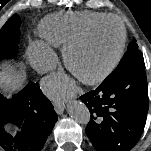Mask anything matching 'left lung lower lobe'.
I'll return each mask as SVG.
<instances>
[{
    "label": "left lung lower lobe",
    "instance_id": "left-lung-lower-lobe-1",
    "mask_svg": "<svg viewBox=\"0 0 151 151\" xmlns=\"http://www.w3.org/2000/svg\"><path fill=\"white\" fill-rule=\"evenodd\" d=\"M91 120L86 134L97 151H129L141 137L148 112L145 66H132L80 97Z\"/></svg>",
    "mask_w": 151,
    "mask_h": 151
}]
</instances>
